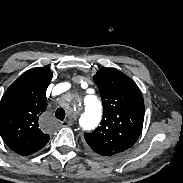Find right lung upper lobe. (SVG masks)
I'll return each instance as SVG.
<instances>
[{"label":"right lung upper lobe","mask_w":183,"mask_h":183,"mask_svg":"<svg viewBox=\"0 0 183 183\" xmlns=\"http://www.w3.org/2000/svg\"><path fill=\"white\" fill-rule=\"evenodd\" d=\"M51 79L49 69H31L7 89L0 101V134L20 155L32 154L49 141L38 119L47 108L46 89Z\"/></svg>","instance_id":"cb5924a9"}]
</instances>
